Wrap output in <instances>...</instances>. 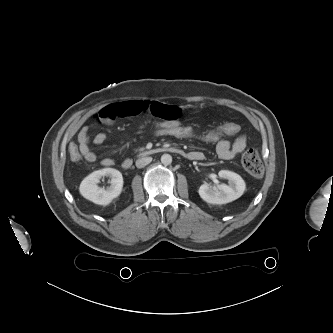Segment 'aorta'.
<instances>
[{
    "label": "aorta",
    "instance_id": "762f6f07",
    "mask_svg": "<svg viewBox=\"0 0 333 333\" xmlns=\"http://www.w3.org/2000/svg\"><path fill=\"white\" fill-rule=\"evenodd\" d=\"M161 163L163 165H170L172 163V156L170 154H163L161 156Z\"/></svg>",
    "mask_w": 333,
    "mask_h": 333
}]
</instances>
